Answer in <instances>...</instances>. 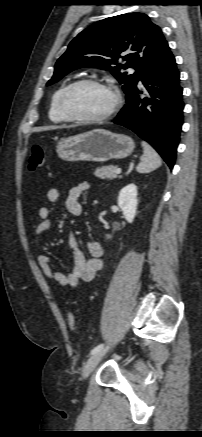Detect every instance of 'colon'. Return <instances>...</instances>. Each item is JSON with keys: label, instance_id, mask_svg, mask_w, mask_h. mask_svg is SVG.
<instances>
[{"label": "colon", "instance_id": "colon-1", "mask_svg": "<svg viewBox=\"0 0 202 437\" xmlns=\"http://www.w3.org/2000/svg\"><path fill=\"white\" fill-rule=\"evenodd\" d=\"M44 164H45V151L43 147L39 145L33 146L29 159V169L31 171L39 170L44 166ZM67 323H68V327L71 330L76 329L77 322L74 313L69 312L67 317Z\"/></svg>", "mask_w": 202, "mask_h": 437}]
</instances>
